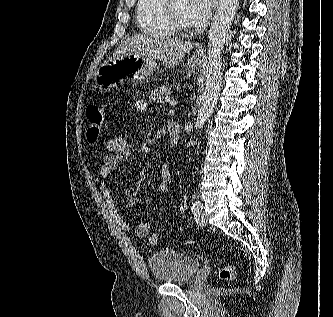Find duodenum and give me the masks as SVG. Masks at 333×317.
<instances>
[{
	"instance_id": "1",
	"label": "duodenum",
	"mask_w": 333,
	"mask_h": 317,
	"mask_svg": "<svg viewBox=\"0 0 333 317\" xmlns=\"http://www.w3.org/2000/svg\"><path fill=\"white\" fill-rule=\"evenodd\" d=\"M167 131H168L170 146L171 147L177 146L181 137L180 124L175 121H170L167 125Z\"/></svg>"
}]
</instances>
